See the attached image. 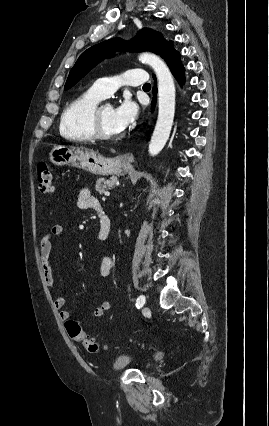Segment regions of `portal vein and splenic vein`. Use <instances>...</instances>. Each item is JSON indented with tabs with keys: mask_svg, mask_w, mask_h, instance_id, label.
<instances>
[{
	"mask_svg": "<svg viewBox=\"0 0 269 426\" xmlns=\"http://www.w3.org/2000/svg\"><path fill=\"white\" fill-rule=\"evenodd\" d=\"M104 195L105 196H110V193L109 192H105Z\"/></svg>",
	"mask_w": 269,
	"mask_h": 426,
	"instance_id": "18ae733b",
	"label": "portal vein and splenic vein"
}]
</instances>
